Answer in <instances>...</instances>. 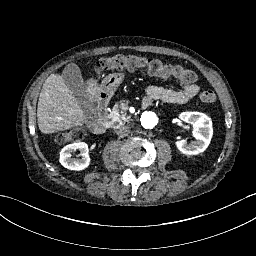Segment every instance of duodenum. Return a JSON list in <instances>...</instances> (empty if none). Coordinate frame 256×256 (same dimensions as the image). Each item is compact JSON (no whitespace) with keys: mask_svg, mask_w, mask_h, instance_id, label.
<instances>
[{"mask_svg":"<svg viewBox=\"0 0 256 256\" xmlns=\"http://www.w3.org/2000/svg\"><path fill=\"white\" fill-rule=\"evenodd\" d=\"M127 79V74L125 72L111 73L104 76L102 82L99 84L97 89V108L98 119L93 125V131L97 135H104L108 129L109 125V115L108 109L110 108L111 95L115 92V89L121 86L122 82ZM153 99L149 95H145L139 101V106L141 108H146L151 105Z\"/></svg>","mask_w":256,"mask_h":256,"instance_id":"1","label":"duodenum"}]
</instances>
